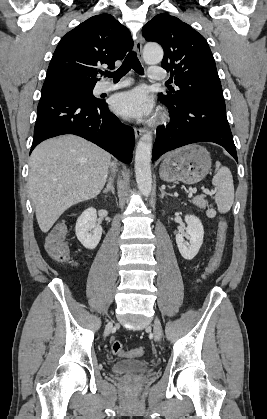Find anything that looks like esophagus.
I'll use <instances>...</instances> for the list:
<instances>
[{"mask_svg":"<svg viewBox=\"0 0 267 419\" xmlns=\"http://www.w3.org/2000/svg\"><path fill=\"white\" fill-rule=\"evenodd\" d=\"M142 45H143V40H142V37L139 36L134 44V49L139 57L142 54ZM134 132H135V137L139 138L145 132V130L143 128H135Z\"/></svg>","mask_w":267,"mask_h":419,"instance_id":"34e87169","label":"esophagus"}]
</instances>
